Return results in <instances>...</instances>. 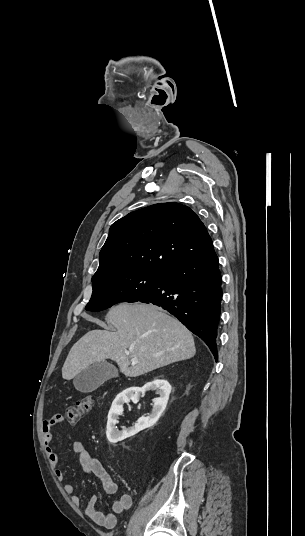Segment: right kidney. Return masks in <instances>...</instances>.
<instances>
[{
  "label": "right kidney",
  "instance_id": "ca27d5eb",
  "mask_svg": "<svg viewBox=\"0 0 305 536\" xmlns=\"http://www.w3.org/2000/svg\"><path fill=\"white\" fill-rule=\"evenodd\" d=\"M159 378H161V376H159ZM147 390H156V394H159V398H155V400H153V404H151V406H153V410L150 416H147V418H141V420H139L138 424H136L135 428H132V430L127 428V430H122V432H119L116 424H118V416H121L123 412V404L130 402L134 396H138L136 392H147ZM170 394L171 386L169 382H167V380H158V378H155L153 382H147L143 388H128V390H125V392L118 394L108 414L106 436L109 442H111V444H117V442H122V440H125V438H130L132 434H137V432H140V430H145V428H151V426H154L157 420H159L160 416H162L168 404Z\"/></svg>",
  "mask_w": 305,
  "mask_h": 536
}]
</instances>
